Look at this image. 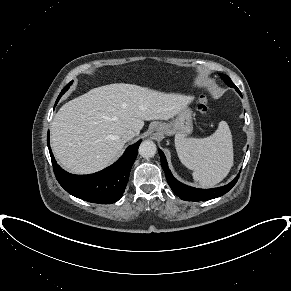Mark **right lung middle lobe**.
I'll use <instances>...</instances> for the list:
<instances>
[{
	"label": "right lung middle lobe",
	"mask_w": 291,
	"mask_h": 291,
	"mask_svg": "<svg viewBox=\"0 0 291 291\" xmlns=\"http://www.w3.org/2000/svg\"><path fill=\"white\" fill-rule=\"evenodd\" d=\"M72 84V82H70L62 91H61V93H60V95H59V97H58V99H57V101H56V104H57V102H58V100L60 99V97L68 90V88L70 87V85Z\"/></svg>",
	"instance_id": "1"
}]
</instances>
